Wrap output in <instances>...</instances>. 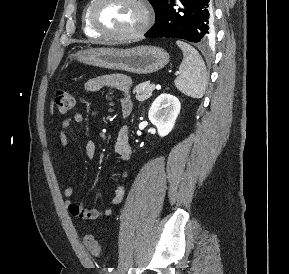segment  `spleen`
<instances>
[{"label":"spleen","mask_w":289,"mask_h":274,"mask_svg":"<svg viewBox=\"0 0 289 274\" xmlns=\"http://www.w3.org/2000/svg\"><path fill=\"white\" fill-rule=\"evenodd\" d=\"M176 44L183 51L184 58L179 67L180 75L174 81L175 86L187 96L201 98L207 85L204 61L191 45L180 40Z\"/></svg>","instance_id":"1"}]
</instances>
